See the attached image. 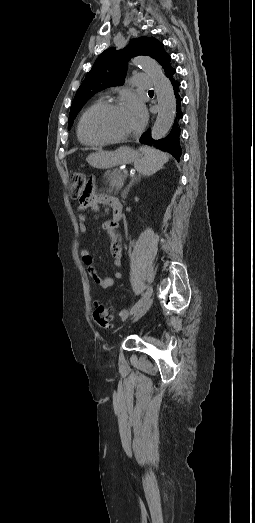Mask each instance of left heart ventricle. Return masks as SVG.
I'll return each instance as SVG.
<instances>
[{
    "instance_id": "obj_1",
    "label": "left heart ventricle",
    "mask_w": 255,
    "mask_h": 523,
    "mask_svg": "<svg viewBox=\"0 0 255 523\" xmlns=\"http://www.w3.org/2000/svg\"><path fill=\"white\" fill-rule=\"evenodd\" d=\"M88 132L97 137H118L136 132L134 114L128 105L95 111L87 120Z\"/></svg>"
}]
</instances>
